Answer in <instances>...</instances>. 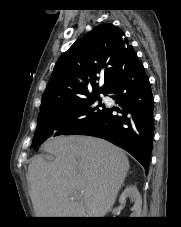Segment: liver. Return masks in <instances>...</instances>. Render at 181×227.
<instances>
[{"mask_svg":"<svg viewBox=\"0 0 181 227\" xmlns=\"http://www.w3.org/2000/svg\"><path fill=\"white\" fill-rule=\"evenodd\" d=\"M28 167L30 197L37 217H103L129 170L125 152L100 138L59 136Z\"/></svg>","mask_w":181,"mask_h":227,"instance_id":"obj_1","label":"liver"}]
</instances>
